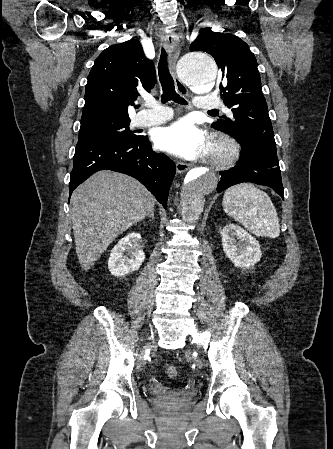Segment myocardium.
Returning a JSON list of instances; mask_svg holds the SVG:
<instances>
[{"label":"myocardium","mask_w":333,"mask_h":449,"mask_svg":"<svg viewBox=\"0 0 333 449\" xmlns=\"http://www.w3.org/2000/svg\"><path fill=\"white\" fill-rule=\"evenodd\" d=\"M240 155V147L233 139L225 136L217 137L208 155L209 163L216 168H227L233 165Z\"/></svg>","instance_id":"myocardium-1"}]
</instances>
